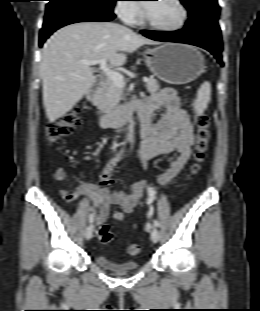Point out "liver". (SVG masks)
<instances>
[{
	"instance_id": "obj_1",
	"label": "liver",
	"mask_w": 260,
	"mask_h": 311,
	"mask_svg": "<svg viewBox=\"0 0 260 311\" xmlns=\"http://www.w3.org/2000/svg\"><path fill=\"white\" fill-rule=\"evenodd\" d=\"M158 44L111 22H78L59 29L44 45L40 63L43 104L49 121L63 117L93 86V69L80 60L105 59L120 67L126 63V53Z\"/></svg>"
}]
</instances>
